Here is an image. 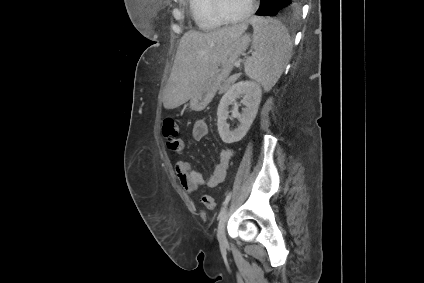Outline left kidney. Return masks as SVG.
Returning <instances> with one entry per match:
<instances>
[{"label":"left kidney","mask_w":424,"mask_h":283,"mask_svg":"<svg viewBox=\"0 0 424 283\" xmlns=\"http://www.w3.org/2000/svg\"><path fill=\"white\" fill-rule=\"evenodd\" d=\"M243 95L242 104L245 105L242 113L238 112L236 99ZM261 87L252 81H240L234 84L222 97L217 109L218 131L221 139L225 143L240 141L248 132L254 121L258 107L261 102ZM233 105L232 117L237 118L240 125L235 130L229 129L227 119L229 117L228 107Z\"/></svg>","instance_id":"1"}]
</instances>
